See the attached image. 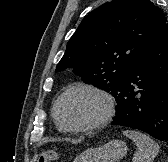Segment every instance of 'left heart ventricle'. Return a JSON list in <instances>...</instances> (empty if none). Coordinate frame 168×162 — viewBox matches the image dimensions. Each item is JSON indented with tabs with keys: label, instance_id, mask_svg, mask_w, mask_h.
<instances>
[{
	"label": "left heart ventricle",
	"instance_id": "b2bd125f",
	"mask_svg": "<svg viewBox=\"0 0 168 162\" xmlns=\"http://www.w3.org/2000/svg\"><path fill=\"white\" fill-rule=\"evenodd\" d=\"M104 112V102L89 91L67 95L59 107L61 121L68 126H79L97 120Z\"/></svg>",
	"mask_w": 168,
	"mask_h": 162
}]
</instances>
